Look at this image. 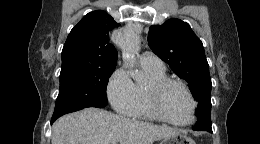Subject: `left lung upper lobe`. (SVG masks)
<instances>
[{
  "label": "left lung upper lobe",
  "mask_w": 260,
  "mask_h": 144,
  "mask_svg": "<svg viewBox=\"0 0 260 144\" xmlns=\"http://www.w3.org/2000/svg\"><path fill=\"white\" fill-rule=\"evenodd\" d=\"M148 43L153 52L165 61L177 76L190 84L192 95L199 102L194 129L212 132V83L201 40L188 23L173 18L162 25H152Z\"/></svg>",
  "instance_id": "1"
}]
</instances>
